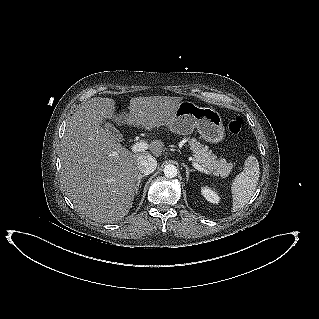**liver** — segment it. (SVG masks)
<instances>
[{
	"mask_svg": "<svg viewBox=\"0 0 319 319\" xmlns=\"http://www.w3.org/2000/svg\"><path fill=\"white\" fill-rule=\"evenodd\" d=\"M181 97L150 96L130 100V113L115 114V100L94 97L84 102L66 126L60 145L61 181L67 197L80 214L98 222H113L133 205L138 166L148 151L132 153L123 148L101 123L111 119L147 130L171 125ZM156 157L163 144L152 141Z\"/></svg>",
	"mask_w": 319,
	"mask_h": 319,
	"instance_id": "1",
	"label": "liver"
}]
</instances>
